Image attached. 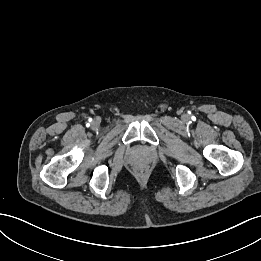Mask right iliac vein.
I'll return each mask as SVG.
<instances>
[{"mask_svg": "<svg viewBox=\"0 0 261 261\" xmlns=\"http://www.w3.org/2000/svg\"><path fill=\"white\" fill-rule=\"evenodd\" d=\"M99 121L98 120H94L93 122H92V126L93 127H98L99 126Z\"/></svg>", "mask_w": 261, "mask_h": 261, "instance_id": "right-iliac-vein-1", "label": "right iliac vein"}]
</instances>
